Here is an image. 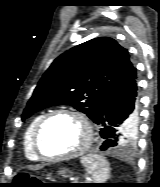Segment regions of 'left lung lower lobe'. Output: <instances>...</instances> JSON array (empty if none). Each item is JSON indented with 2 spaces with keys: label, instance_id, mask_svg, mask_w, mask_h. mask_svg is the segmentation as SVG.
Wrapping results in <instances>:
<instances>
[{
  "label": "left lung lower lobe",
  "instance_id": "left-lung-lower-lobe-1",
  "mask_svg": "<svg viewBox=\"0 0 160 187\" xmlns=\"http://www.w3.org/2000/svg\"><path fill=\"white\" fill-rule=\"evenodd\" d=\"M104 139L100 149L114 150L131 134L138 124V85L136 68L129 78L107 95L94 120Z\"/></svg>",
  "mask_w": 160,
  "mask_h": 187
}]
</instances>
